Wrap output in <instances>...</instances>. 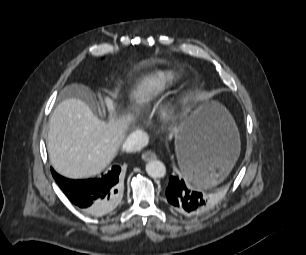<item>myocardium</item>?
I'll return each instance as SVG.
<instances>
[{
  "instance_id": "f54148a6",
  "label": "myocardium",
  "mask_w": 306,
  "mask_h": 255,
  "mask_svg": "<svg viewBox=\"0 0 306 255\" xmlns=\"http://www.w3.org/2000/svg\"><path fill=\"white\" fill-rule=\"evenodd\" d=\"M161 116L164 120H170L173 116V113L172 111H170L169 109H163L162 112H161Z\"/></svg>"
}]
</instances>
